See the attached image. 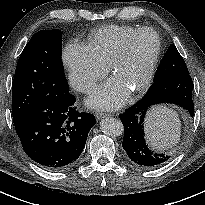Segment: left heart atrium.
Instances as JSON below:
<instances>
[{
	"instance_id": "left-heart-atrium-1",
	"label": "left heart atrium",
	"mask_w": 205,
	"mask_h": 205,
	"mask_svg": "<svg viewBox=\"0 0 205 205\" xmlns=\"http://www.w3.org/2000/svg\"><path fill=\"white\" fill-rule=\"evenodd\" d=\"M128 90L116 78H112L90 96L87 104L96 109L117 108L127 99Z\"/></svg>"
}]
</instances>
